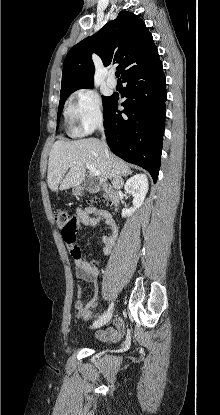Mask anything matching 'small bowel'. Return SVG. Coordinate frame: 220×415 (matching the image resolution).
<instances>
[{
	"label": "small bowel",
	"mask_w": 220,
	"mask_h": 415,
	"mask_svg": "<svg viewBox=\"0 0 220 415\" xmlns=\"http://www.w3.org/2000/svg\"><path fill=\"white\" fill-rule=\"evenodd\" d=\"M100 221H103L109 229L108 234L101 236V242L103 244V256L110 254L113 246L115 245L118 229L112 215L106 211L97 209L94 207L78 208L74 215V238L69 239L66 233L61 230L62 239L65 244L70 248L71 255L75 262L76 277L83 282L91 285V294L89 300L84 303L80 300L83 295V288L78 286L76 288V296L78 300L75 303L76 317L89 321L93 317V312L98 305L99 292L97 287V278L99 275L98 264H93L84 258V249L77 244L76 233L80 226H86L94 228ZM100 260L98 261V263ZM124 335V325L121 319L114 321V327H110L103 331L96 332L95 336L104 341L116 342Z\"/></svg>",
	"instance_id": "small-bowel-1"
}]
</instances>
